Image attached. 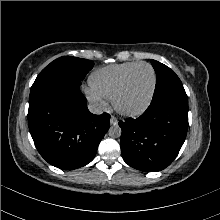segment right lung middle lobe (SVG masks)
Wrapping results in <instances>:
<instances>
[{
  "label": "right lung middle lobe",
  "mask_w": 220,
  "mask_h": 220,
  "mask_svg": "<svg viewBox=\"0 0 220 220\" xmlns=\"http://www.w3.org/2000/svg\"><path fill=\"white\" fill-rule=\"evenodd\" d=\"M93 66L94 63L90 60L63 56L46 66L37 76L34 84L52 78H66L80 82Z\"/></svg>",
  "instance_id": "dd1d6c3e"
}]
</instances>
